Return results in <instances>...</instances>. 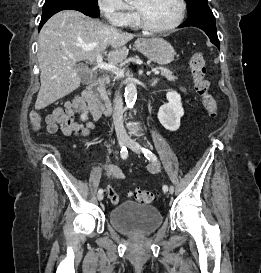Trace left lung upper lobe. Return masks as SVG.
Masks as SVG:
<instances>
[{
  "label": "left lung upper lobe",
  "instance_id": "left-lung-upper-lobe-1",
  "mask_svg": "<svg viewBox=\"0 0 261 273\" xmlns=\"http://www.w3.org/2000/svg\"><path fill=\"white\" fill-rule=\"evenodd\" d=\"M185 2L187 3L188 14L199 7L207 6V0H185Z\"/></svg>",
  "mask_w": 261,
  "mask_h": 273
}]
</instances>
